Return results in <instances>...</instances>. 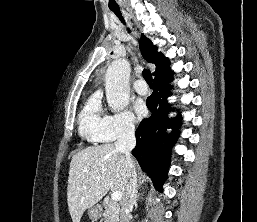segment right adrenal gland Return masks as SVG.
Instances as JSON below:
<instances>
[{
  "label": "right adrenal gland",
  "instance_id": "2a0ac1e0",
  "mask_svg": "<svg viewBox=\"0 0 257 222\" xmlns=\"http://www.w3.org/2000/svg\"><path fill=\"white\" fill-rule=\"evenodd\" d=\"M138 198H139V194L136 196V198H135V206L137 207V200H138Z\"/></svg>",
  "mask_w": 257,
  "mask_h": 222
}]
</instances>
